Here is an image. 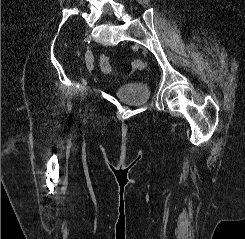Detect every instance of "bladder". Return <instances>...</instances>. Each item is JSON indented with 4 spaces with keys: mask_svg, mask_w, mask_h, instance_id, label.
Here are the masks:
<instances>
[{
    "mask_svg": "<svg viewBox=\"0 0 245 239\" xmlns=\"http://www.w3.org/2000/svg\"><path fill=\"white\" fill-rule=\"evenodd\" d=\"M151 88L142 82H129L117 85L113 94L123 103L142 105L150 100Z\"/></svg>",
    "mask_w": 245,
    "mask_h": 239,
    "instance_id": "1",
    "label": "bladder"
}]
</instances>
